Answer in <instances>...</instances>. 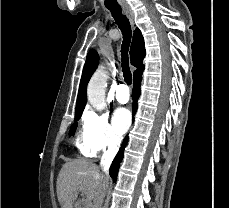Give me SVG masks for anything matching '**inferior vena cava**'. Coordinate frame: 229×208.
Wrapping results in <instances>:
<instances>
[{
    "mask_svg": "<svg viewBox=\"0 0 229 208\" xmlns=\"http://www.w3.org/2000/svg\"><path fill=\"white\" fill-rule=\"evenodd\" d=\"M115 156V152L114 150H109V152H104L102 158H101V170L102 172H100V176L101 178H105V180H108L109 176H108V172H109V168H110V164L113 160ZM104 196L106 194V190L105 192H103Z\"/></svg>",
    "mask_w": 229,
    "mask_h": 208,
    "instance_id": "obj_1",
    "label": "inferior vena cava"
}]
</instances>
